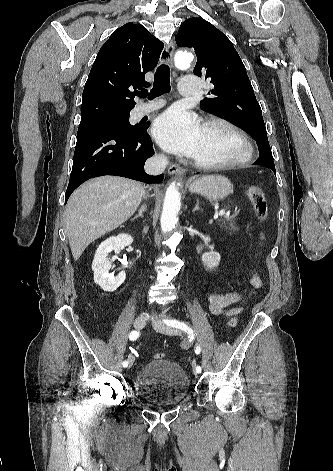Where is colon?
I'll list each match as a JSON object with an SVG mask.
<instances>
[{
    "label": "colon",
    "instance_id": "colon-1",
    "mask_svg": "<svg viewBox=\"0 0 333 471\" xmlns=\"http://www.w3.org/2000/svg\"><path fill=\"white\" fill-rule=\"evenodd\" d=\"M247 196L254 208L255 214L257 218L265 222L268 219V205L266 201L265 194L263 190L255 185H250L247 188ZM238 324V319L237 317H232L229 319L227 322V326L231 329L235 328ZM155 359H164V354L162 353H156L154 354Z\"/></svg>",
    "mask_w": 333,
    "mask_h": 471
}]
</instances>
